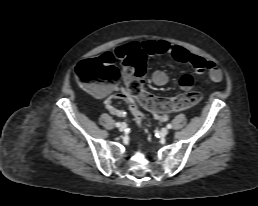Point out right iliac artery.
Listing matches in <instances>:
<instances>
[{"mask_svg":"<svg viewBox=\"0 0 258 206\" xmlns=\"http://www.w3.org/2000/svg\"><path fill=\"white\" fill-rule=\"evenodd\" d=\"M115 125H116V127H120L121 123L117 122Z\"/></svg>","mask_w":258,"mask_h":206,"instance_id":"82829eb1","label":"right iliac artery"}]
</instances>
